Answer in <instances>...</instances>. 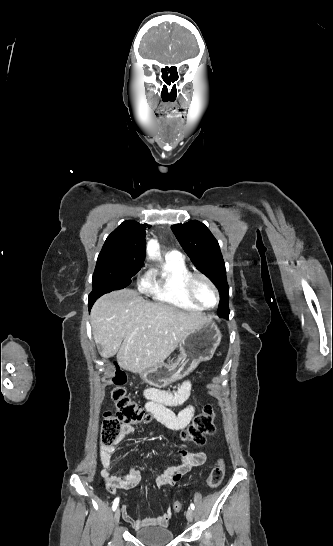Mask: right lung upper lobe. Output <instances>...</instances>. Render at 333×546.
Segmentation results:
<instances>
[{
    "label": "right lung upper lobe",
    "instance_id": "1",
    "mask_svg": "<svg viewBox=\"0 0 333 546\" xmlns=\"http://www.w3.org/2000/svg\"><path fill=\"white\" fill-rule=\"evenodd\" d=\"M147 224L133 220L124 221L106 239L99 255H112L126 259L132 269L144 265Z\"/></svg>",
    "mask_w": 333,
    "mask_h": 546
}]
</instances>
